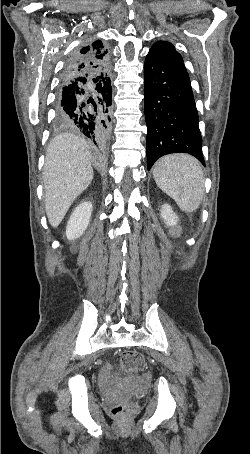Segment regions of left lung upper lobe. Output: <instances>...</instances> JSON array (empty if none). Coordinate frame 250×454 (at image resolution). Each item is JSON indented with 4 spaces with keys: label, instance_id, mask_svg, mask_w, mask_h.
<instances>
[{
    "label": "left lung upper lobe",
    "instance_id": "obj_1",
    "mask_svg": "<svg viewBox=\"0 0 250 454\" xmlns=\"http://www.w3.org/2000/svg\"><path fill=\"white\" fill-rule=\"evenodd\" d=\"M149 53L156 54L161 58L183 62L181 55L175 50V47L166 41L156 42L151 47Z\"/></svg>",
    "mask_w": 250,
    "mask_h": 454
}]
</instances>
